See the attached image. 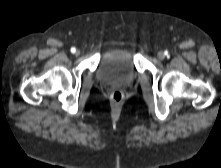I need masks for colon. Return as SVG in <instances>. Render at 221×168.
<instances>
[{
    "label": "colon",
    "mask_w": 221,
    "mask_h": 168,
    "mask_svg": "<svg viewBox=\"0 0 221 168\" xmlns=\"http://www.w3.org/2000/svg\"><path fill=\"white\" fill-rule=\"evenodd\" d=\"M110 98L114 104H119L123 100V94L120 91H114L111 93Z\"/></svg>",
    "instance_id": "obj_1"
}]
</instances>
